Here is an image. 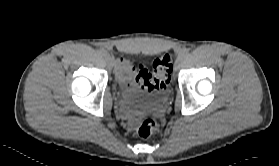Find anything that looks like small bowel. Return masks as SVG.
I'll use <instances>...</instances> for the list:
<instances>
[{"instance_id":"obj_1","label":"small bowel","mask_w":279,"mask_h":166,"mask_svg":"<svg viewBox=\"0 0 279 166\" xmlns=\"http://www.w3.org/2000/svg\"><path fill=\"white\" fill-rule=\"evenodd\" d=\"M135 72L136 69L129 60L121 58L117 61L116 78L120 84L131 87L133 84Z\"/></svg>"}]
</instances>
